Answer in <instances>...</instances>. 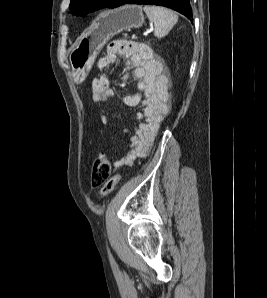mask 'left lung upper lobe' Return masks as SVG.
Segmentation results:
<instances>
[{
    "label": "left lung upper lobe",
    "instance_id": "left-lung-upper-lobe-1",
    "mask_svg": "<svg viewBox=\"0 0 267 298\" xmlns=\"http://www.w3.org/2000/svg\"><path fill=\"white\" fill-rule=\"evenodd\" d=\"M120 0H71L69 9L77 16H83L104 7L115 8Z\"/></svg>",
    "mask_w": 267,
    "mask_h": 298
}]
</instances>
